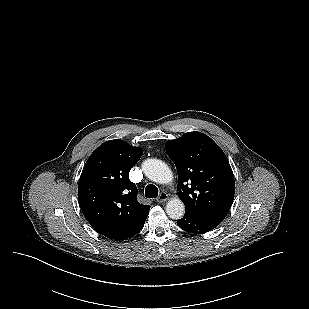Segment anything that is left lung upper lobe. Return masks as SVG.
<instances>
[{
    "instance_id": "5c2ea615",
    "label": "left lung upper lobe",
    "mask_w": 309,
    "mask_h": 309,
    "mask_svg": "<svg viewBox=\"0 0 309 309\" xmlns=\"http://www.w3.org/2000/svg\"><path fill=\"white\" fill-rule=\"evenodd\" d=\"M165 148L177 168L178 196L185 205V214L219 225L235 193L234 175L222 149L200 132L170 140Z\"/></svg>"
}]
</instances>
